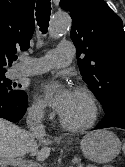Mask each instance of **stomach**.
<instances>
[{"mask_svg":"<svg viewBox=\"0 0 125 167\" xmlns=\"http://www.w3.org/2000/svg\"><path fill=\"white\" fill-rule=\"evenodd\" d=\"M80 148L86 158L96 163L113 160L121 150L119 138L108 130L88 133L80 141Z\"/></svg>","mask_w":125,"mask_h":167,"instance_id":"obj_1","label":"stomach"}]
</instances>
